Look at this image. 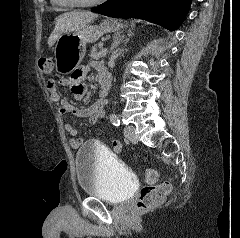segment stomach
I'll return each mask as SVG.
<instances>
[{
    "label": "stomach",
    "mask_w": 240,
    "mask_h": 238,
    "mask_svg": "<svg viewBox=\"0 0 240 238\" xmlns=\"http://www.w3.org/2000/svg\"><path fill=\"white\" fill-rule=\"evenodd\" d=\"M123 27L118 20L106 19L100 26L87 25L79 30L61 34L54 48L56 71L69 74L84 58L87 43H94L105 33L117 32Z\"/></svg>",
    "instance_id": "obj_1"
}]
</instances>
